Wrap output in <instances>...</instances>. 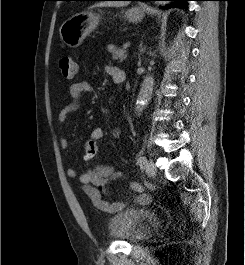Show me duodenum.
Returning a JSON list of instances; mask_svg holds the SVG:
<instances>
[{"instance_id": "obj_1", "label": "duodenum", "mask_w": 245, "mask_h": 265, "mask_svg": "<svg viewBox=\"0 0 245 265\" xmlns=\"http://www.w3.org/2000/svg\"><path fill=\"white\" fill-rule=\"evenodd\" d=\"M125 79H126V78H123L122 80H116L115 83H117V84H122V83L125 81Z\"/></svg>"}]
</instances>
